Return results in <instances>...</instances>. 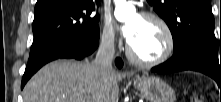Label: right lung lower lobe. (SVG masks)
Instances as JSON below:
<instances>
[{
  "label": "right lung lower lobe",
  "instance_id": "1",
  "mask_svg": "<svg viewBox=\"0 0 221 102\" xmlns=\"http://www.w3.org/2000/svg\"><path fill=\"white\" fill-rule=\"evenodd\" d=\"M99 34L95 39L64 38L52 42L39 52L29 57L25 73L22 78L21 88L24 87L30 77L46 63L59 59L69 58L82 60L92 54L98 47ZM116 65L121 67L122 61L117 59Z\"/></svg>",
  "mask_w": 221,
  "mask_h": 102
}]
</instances>
